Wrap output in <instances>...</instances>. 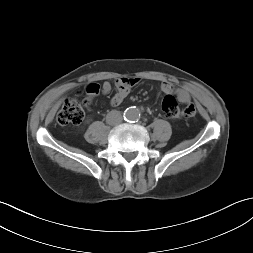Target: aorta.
<instances>
[{"label": "aorta", "instance_id": "1", "mask_svg": "<svg viewBox=\"0 0 253 253\" xmlns=\"http://www.w3.org/2000/svg\"><path fill=\"white\" fill-rule=\"evenodd\" d=\"M141 112L136 107H129L124 112V117L129 121H136L140 118Z\"/></svg>", "mask_w": 253, "mask_h": 253}]
</instances>
